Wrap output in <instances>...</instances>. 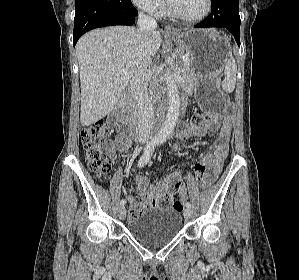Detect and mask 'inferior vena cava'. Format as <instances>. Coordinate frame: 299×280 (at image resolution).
<instances>
[{"mask_svg":"<svg viewBox=\"0 0 299 280\" xmlns=\"http://www.w3.org/2000/svg\"><path fill=\"white\" fill-rule=\"evenodd\" d=\"M139 33L143 43H147L150 34L157 28L154 18L139 13L138 22ZM152 75L151 57H147L136 69L130 80V89L137 109L139 141L145 143L149 139L151 120L154 113L152 100L148 96L147 84Z\"/></svg>","mask_w":299,"mask_h":280,"instance_id":"inferior-vena-cava-1","label":"inferior vena cava"}]
</instances>
